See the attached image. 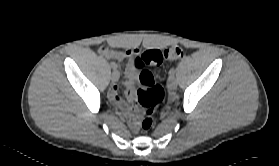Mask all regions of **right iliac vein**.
<instances>
[{
  "mask_svg": "<svg viewBox=\"0 0 279 166\" xmlns=\"http://www.w3.org/2000/svg\"><path fill=\"white\" fill-rule=\"evenodd\" d=\"M111 79L113 82H117L119 79V72L117 70H114L111 76Z\"/></svg>",
  "mask_w": 279,
  "mask_h": 166,
  "instance_id": "obj_1",
  "label": "right iliac vein"
}]
</instances>
